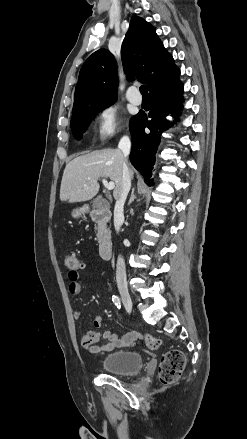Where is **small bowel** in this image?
<instances>
[{
    "label": "small bowel",
    "instance_id": "c3829d8e",
    "mask_svg": "<svg viewBox=\"0 0 247 439\" xmlns=\"http://www.w3.org/2000/svg\"><path fill=\"white\" fill-rule=\"evenodd\" d=\"M68 278H69V286H68L69 292L72 295L80 294L82 290V286L79 281L78 270H70L68 273ZM80 315H81L80 310L78 308H75L73 310L74 318L78 319ZM104 321H105V317L103 316L97 317L94 320V326L99 328L103 325ZM101 338L104 340V342L98 345L97 343ZM139 339H140L139 335L135 332H129L122 337H118L114 332L109 330L104 331L102 334H100L98 331L88 330L85 331L80 336V344L85 350H87L92 354H101V353L111 352L116 348L133 346L139 341Z\"/></svg>",
    "mask_w": 247,
    "mask_h": 439
}]
</instances>
